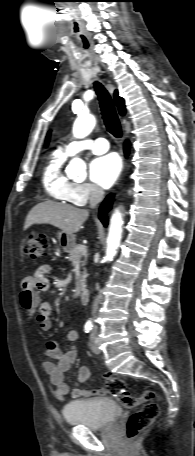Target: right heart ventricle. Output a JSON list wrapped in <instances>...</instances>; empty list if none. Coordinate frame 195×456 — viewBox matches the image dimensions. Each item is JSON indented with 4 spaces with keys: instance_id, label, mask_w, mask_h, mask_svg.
Returning <instances> with one entry per match:
<instances>
[{
    "instance_id": "1",
    "label": "right heart ventricle",
    "mask_w": 195,
    "mask_h": 456,
    "mask_svg": "<svg viewBox=\"0 0 195 456\" xmlns=\"http://www.w3.org/2000/svg\"><path fill=\"white\" fill-rule=\"evenodd\" d=\"M67 156L62 150L53 152L43 169L41 178L45 192L61 202H70L69 190L72 183L62 171Z\"/></svg>"
}]
</instances>
